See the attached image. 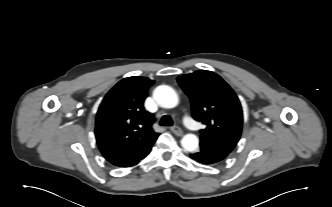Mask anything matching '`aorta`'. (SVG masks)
Returning a JSON list of instances; mask_svg holds the SVG:
<instances>
[{
    "label": "aorta",
    "mask_w": 332,
    "mask_h": 207,
    "mask_svg": "<svg viewBox=\"0 0 332 207\" xmlns=\"http://www.w3.org/2000/svg\"><path fill=\"white\" fill-rule=\"evenodd\" d=\"M155 101L163 108H174L178 104V95L173 88L167 85L158 86L153 93ZM182 147L193 152L198 148L199 139L194 134H186L181 140Z\"/></svg>",
    "instance_id": "obj_1"
}]
</instances>
